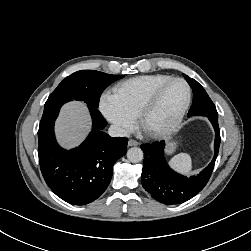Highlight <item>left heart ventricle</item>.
Instances as JSON below:
<instances>
[{"instance_id":"obj_1","label":"left heart ventricle","mask_w":251,"mask_h":251,"mask_svg":"<svg viewBox=\"0 0 251 251\" xmlns=\"http://www.w3.org/2000/svg\"><path fill=\"white\" fill-rule=\"evenodd\" d=\"M187 98V89L182 82H173L161 93L154 109L146 119V127L157 130L168 125L180 112Z\"/></svg>"}]
</instances>
